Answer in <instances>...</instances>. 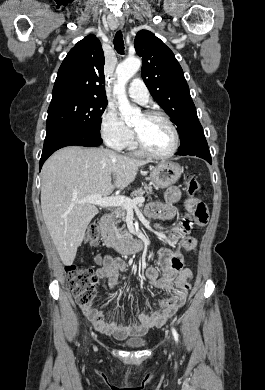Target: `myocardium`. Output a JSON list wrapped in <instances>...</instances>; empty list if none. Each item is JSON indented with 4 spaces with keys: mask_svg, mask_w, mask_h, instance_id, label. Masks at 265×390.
<instances>
[{
    "mask_svg": "<svg viewBox=\"0 0 265 390\" xmlns=\"http://www.w3.org/2000/svg\"><path fill=\"white\" fill-rule=\"evenodd\" d=\"M143 115L146 117H151V118H159L162 121H164L167 124V126L170 128V130L173 134V144H172V147L170 148V150H168L167 152L162 153V154L155 153V152L151 151L150 149H148V147L144 144L143 140L141 139V137L137 133V131L133 130L134 141H135V144H136L138 150L141 153H143L144 155L151 157V158H154V159H158V160H165V159L171 158L177 152L179 145H180V136H179V132H178L176 126L174 125V123L170 120V118L167 115H165L164 113H162L160 111L148 110V111H145L143 113Z\"/></svg>",
    "mask_w": 265,
    "mask_h": 390,
    "instance_id": "obj_1",
    "label": "myocardium"
}]
</instances>
